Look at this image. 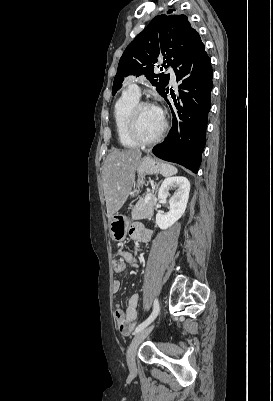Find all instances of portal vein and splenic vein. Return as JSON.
<instances>
[{
  "label": "portal vein and splenic vein",
  "mask_w": 273,
  "mask_h": 401,
  "mask_svg": "<svg viewBox=\"0 0 273 401\" xmlns=\"http://www.w3.org/2000/svg\"><path fill=\"white\" fill-rule=\"evenodd\" d=\"M146 202H149L151 200V195L148 194V196L145 197Z\"/></svg>",
  "instance_id": "18ae733b"
}]
</instances>
